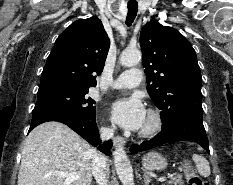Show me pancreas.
<instances>
[{"mask_svg":"<svg viewBox=\"0 0 233 185\" xmlns=\"http://www.w3.org/2000/svg\"><path fill=\"white\" fill-rule=\"evenodd\" d=\"M168 184H172V185H183L184 181L182 180L181 176H175L172 177L170 181H168Z\"/></svg>","mask_w":233,"mask_h":185,"instance_id":"obj_1","label":"pancreas"}]
</instances>
